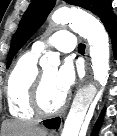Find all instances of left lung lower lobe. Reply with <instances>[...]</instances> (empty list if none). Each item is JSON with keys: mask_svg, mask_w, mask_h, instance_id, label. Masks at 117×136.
Instances as JSON below:
<instances>
[{"mask_svg": "<svg viewBox=\"0 0 117 136\" xmlns=\"http://www.w3.org/2000/svg\"><path fill=\"white\" fill-rule=\"evenodd\" d=\"M104 23L106 30L109 32V35L112 39V47L115 58H117V23H116V16H110ZM102 117V116H101ZM101 117L99 118L98 122L94 126L93 135L97 134L99 129V124L101 122ZM43 124L47 128H58L60 124V118H54L47 121H44Z\"/></svg>", "mask_w": 117, "mask_h": 136, "instance_id": "left-lung-lower-lobe-1", "label": "left lung lower lobe"}]
</instances>
